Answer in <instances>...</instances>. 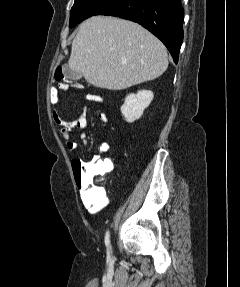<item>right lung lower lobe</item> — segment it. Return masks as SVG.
<instances>
[{
    "instance_id": "right-lung-lower-lobe-1",
    "label": "right lung lower lobe",
    "mask_w": 240,
    "mask_h": 287,
    "mask_svg": "<svg viewBox=\"0 0 240 287\" xmlns=\"http://www.w3.org/2000/svg\"><path fill=\"white\" fill-rule=\"evenodd\" d=\"M94 15H110L142 25L158 37L178 62L184 9L180 0H107Z\"/></svg>"
}]
</instances>
